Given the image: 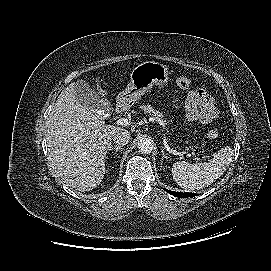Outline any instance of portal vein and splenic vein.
<instances>
[{
	"mask_svg": "<svg viewBox=\"0 0 271 271\" xmlns=\"http://www.w3.org/2000/svg\"><path fill=\"white\" fill-rule=\"evenodd\" d=\"M117 124L121 126H128L131 124V119L128 118H120L117 120Z\"/></svg>",
	"mask_w": 271,
	"mask_h": 271,
	"instance_id": "obj_1",
	"label": "portal vein and splenic vein"
}]
</instances>
